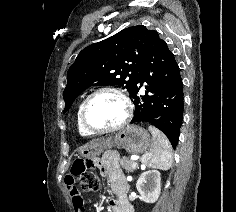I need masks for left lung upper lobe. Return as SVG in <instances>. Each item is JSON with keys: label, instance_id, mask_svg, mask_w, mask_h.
Returning a JSON list of instances; mask_svg holds the SVG:
<instances>
[{"label": "left lung upper lobe", "instance_id": "5c2ea615", "mask_svg": "<svg viewBox=\"0 0 236 212\" xmlns=\"http://www.w3.org/2000/svg\"><path fill=\"white\" fill-rule=\"evenodd\" d=\"M151 33L152 30L143 25L128 27L84 48L67 73L63 113L69 110L79 94L91 86L116 85L132 94Z\"/></svg>", "mask_w": 236, "mask_h": 212}]
</instances>
